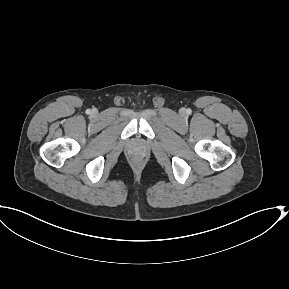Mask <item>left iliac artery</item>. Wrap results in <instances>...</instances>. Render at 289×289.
<instances>
[{
  "mask_svg": "<svg viewBox=\"0 0 289 289\" xmlns=\"http://www.w3.org/2000/svg\"><path fill=\"white\" fill-rule=\"evenodd\" d=\"M187 113H188V114H191V109H187Z\"/></svg>",
  "mask_w": 289,
  "mask_h": 289,
  "instance_id": "obj_1",
  "label": "left iliac artery"
}]
</instances>
